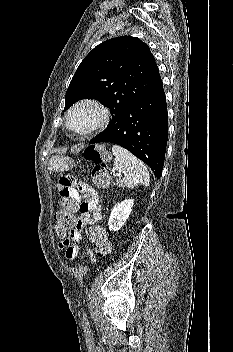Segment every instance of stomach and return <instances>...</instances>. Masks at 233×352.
Wrapping results in <instances>:
<instances>
[{
    "instance_id": "obj_1",
    "label": "stomach",
    "mask_w": 233,
    "mask_h": 352,
    "mask_svg": "<svg viewBox=\"0 0 233 352\" xmlns=\"http://www.w3.org/2000/svg\"><path fill=\"white\" fill-rule=\"evenodd\" d=\"M49 164L52 170L61 172L70 167L71 160L68 157L56 155L50 159Z\"/></svg>"
}]
</instances>
